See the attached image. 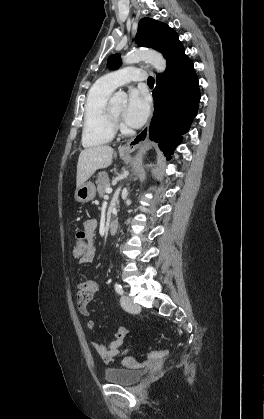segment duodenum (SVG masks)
<instances>
[{
	"mask_svg": "<svg viewBox=\"0 0 264 419\" xmlns=\"http://www.w3.org/2000/svg\"><path fill=\"white\" fill-rule=\"evenodd\" d=\"M118 227H119V222H118L116 219L112 220V221L109 223V226H108V233H109V234H114V233H116V232H117V230H118Z\"/></svg>",
	"mask_w": 264,
	"mask_h": 419,
	"instance_id": "1",
	"label": "duodenum"
}]
</instances>
